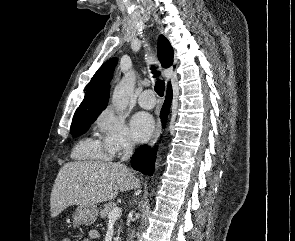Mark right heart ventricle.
Listing matches in <instances>:
<instances>
[{
    "label": "right heart ventricle",
    "instance_id": "e07e8e85",
    "mask_svg": "<svg viewBox=\"0 0 295 241\" xmlns=\"http://www.w3.org/2000/svg\"><path fill=\"white\" fill-rule=\"evenodd\" d=\"M72 156L79 160H106L110 156L105 152L99 141L85 138L75 146Z\"/></svg>",
    "mask_w": 295,
    "mask_h": 241
}]
</instances>
